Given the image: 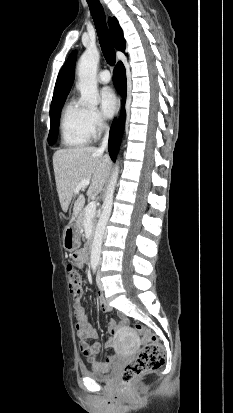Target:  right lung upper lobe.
I'll return each instance as SVG.
<instances>
[{
	"label": "right lung upper lobe",
	"mask_w": 233,
	"mask_h": 413,
	"mask_svg": "<svg viewBox=\"0 0 233 413\" xmlns=\"http://www.w3.org/2000/svg\"><path fill=\"white\" fill-rule=\"evenodd\" d=\"M109 25L112 41L115 48L119 51L124 52L126 42L123 38V32L121 27L119 26L117 19L115 17L109 18ZM75 59L76 51H73L58 75L51 104H55L66 99L67 95L69 94L74 79L73 67Z\"/></svg>",
	"instance_id": "cb5924a9"
}]
</instances>
